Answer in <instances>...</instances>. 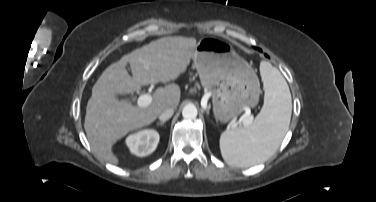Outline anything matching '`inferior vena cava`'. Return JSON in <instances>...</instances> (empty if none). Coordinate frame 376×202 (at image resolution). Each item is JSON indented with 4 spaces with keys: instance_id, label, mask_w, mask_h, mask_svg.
Listing matches in <instances>:
<instances>
[{
    "instance_id": "inferior-vena-cava-1",
    "label": "inferior vena cava",
    "mask_w": 376,
    "mask_h": 202,
    "mask_svg": "<svg viewBox=\"0 0 376 202\" xmlns=\"http://www.w3.org/2000/svg\"><path fill=\"white\" fill-rule=\"evenodd\" d=\"M174 114V110L172 108H168L164 110L160 115H159V120L160 121H167L170 119Z\"/></svg>"
}]
</instances>
